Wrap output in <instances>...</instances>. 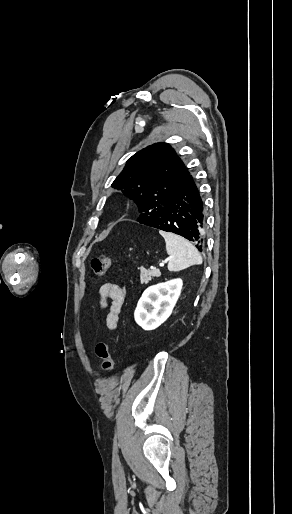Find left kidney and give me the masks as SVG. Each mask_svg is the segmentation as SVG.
Here are the masks:
<instances>
[{"mask_svg":"<svg viewBox=\"0 0 292 514\" xmlns=\"http://www.w3.org/2000/svg\"><path fill=\"white\" fill-rule=\"evenodd\" d=\"M183 282L180 278L164 284L149 286L140 298L134 312L136 324L143 330L159 328L171 316L181 294Z\"/></svg>","mask_w":292,"mask_h":514,"instance_id":"obj_1","label":"left kidney"}]
</instances>
